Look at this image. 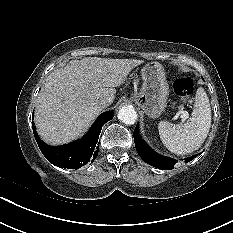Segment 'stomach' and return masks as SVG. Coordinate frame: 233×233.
Here are the masks:
<instances>
[{
	"mask_svg": "<svg viewBox=\"0 0 233 233\" xmlns=\"http://www.w3.org/2000/svg\"><path fill=\"white\" fill-rule=\"evenodd\" d=\"M141 75L143 85L133 99L148 117L158 118L167 107L169 95L164 68L158 62H150L142 68Z\"/></svg>",
	"mask_w": 233,
	"mask_h": 233,
	"instance_id": "1",
	"label": "stomach"
}]
</instances>
